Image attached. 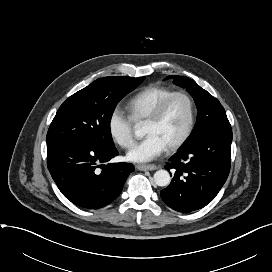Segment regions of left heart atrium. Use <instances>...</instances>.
<instances>
[{
    "instance_id": "obj_1",
    "label": "left heart atrium",
    "mask_w": 272,
    "mask_h": 272,
    "mask_svg": "<svg viewBox=\"0 0 272 272\" xmlns=\"http://www.w3.org/2000/svg\"><path fill=\"white\" fill-rule=\"evenodd\" d=\"M166 149L167 146L158 136L148 135L129 150L127 159L135 163L149 162L159 157Z\"/></svg>"
}]
</instances>
